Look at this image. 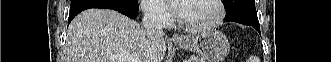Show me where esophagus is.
I'll use <instances>...</instances> for the list:
<instances>
[{
    "instance_id": "1",
    "label": "esophagus",
    "mask_w": 331,
    "mask_h": 62,
    "mask_svg": "<svg viewBox=\"0 0 331 62\" xmlns=\"http://www.w3.org/2000/svg\"><path fill=\"white\" fill-rule=\"evenodd\" d=\"M172 40H173L174 42H179V41H182V40H183V37L180 36V35H178V34H174V35L172 36Z\"/></svg>"
}]
</instances>
